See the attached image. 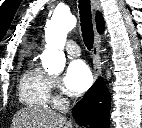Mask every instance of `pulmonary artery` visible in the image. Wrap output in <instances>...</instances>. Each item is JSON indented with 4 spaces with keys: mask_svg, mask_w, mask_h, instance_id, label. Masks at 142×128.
Returning a JSON list of instances; mask_svg holds the SVG:
<instances>
[{
    "mask_svg": "<svg viewBox=\"0 0 142 128\" xmlns=\"http://www.w3.org/2000/svg\"><path fill=\"white\" fill-rule=\"evenodd\" d=\"M65 50L71 56H79L80 55V48L78 44L74 41H68L65 46Z\"/></svg>",
    "mask_w": 142,
    "mask_h": 128,
    "instance_id": "e3ab8cb5",
    "label": "pulmonary artery"
}]
</instances>
